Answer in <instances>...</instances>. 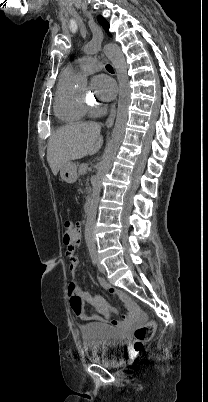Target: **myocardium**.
I'll use <instances>...</instances> for the list:
<instances>
[{
	"label": "myocardium",
	"mask_w": 208,
	"mask_h": 402,
	"mask_svg": "<svg viewBox=\"0 0 208 402\" xmlns=\"http://www.w3.org/2000/svg\"><path fill=\"white\" fill-rule=\"evenodd\" d=\"M79 95V100L81 101V103L87 108L88 106H90L93 101L91 99H89L85 93H81L78 92Z\"/></svg>",
	"instance_id": "obj_1"
}]
</instances>
